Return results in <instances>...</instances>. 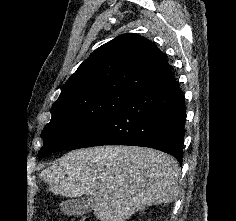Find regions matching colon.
<instances>
[{
	"label": "colon",
	"mask_w": 236,
	"mask_h": 221,
	"mask_svg": "<svg viewBox=\"0 0 236 221\" xmlns=\"http://www.w3.org/2000/svg\"><path fill=\"white\" fill-rule=\"evenodd\" d=\"M72 221H91L89 218H79V219H76V220H72Z\"/></svg>",
	"instance_id": "1"
}]
</instances>
